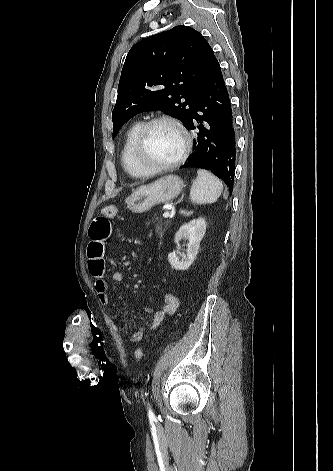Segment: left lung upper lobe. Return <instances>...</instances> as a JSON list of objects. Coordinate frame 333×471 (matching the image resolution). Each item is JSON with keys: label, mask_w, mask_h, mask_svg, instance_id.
I'll return each mask as SVG.
<instances>
[{"label": "left lung upper lobe", "mask_w": 333, "mask_h": 471, "mask_svg": "<svg viewBox=\"0 0 333 471\" xmlns=\"http://www.w3.org/2000/svg\"><path fill=\"white\" fill-rule=\"evenodd\" d=\"M215 62L206 39L187 26H176L135 44L121 72L112 112L113 137L125 122L145 111L160 110L187 126Z\"/></svg>", "instance_id": "obj_1"}]
</instances>
